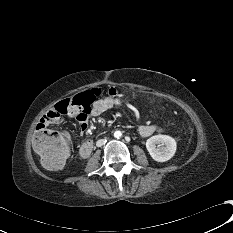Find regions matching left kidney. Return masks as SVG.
Wrapping results in <instances>:
<instances>
[{"label": "left kidney", "mask_w": 233, "mask_h": 233, "mask_svg": "<svg viewBox=\"0 0 233 233\" xmlns=\"http://www.w3.org/2000/svg\"><path fill=\"white\" fill-rule=\"evenodd\" d=\"M146 148L152 159L157 162H166L174 156L177 144L171 136L159 134L147 139Z\"/></svg>", "instance_id": "1"}]
</instances>
